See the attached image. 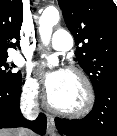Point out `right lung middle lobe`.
<instances>
[{
    "instance_id": "dd1d6c3e",
    "label": "right lung middle lobe",
    "mask_w": 117,
    "mask_h": 136,
    "mask_svg": "<svg viewBox=\"0 0 117 136\" xmlns=\"http://www.w3.org/2000/svg\"><path fill=\"white\" fill-rule=\"evenodd\" d=\"M6 57H0V85H9L16 82H19L21 80V72L14 73L10 69L15 67L14 64H12V67H10L6 63Z\"/></svg>"
}]
</instances>
